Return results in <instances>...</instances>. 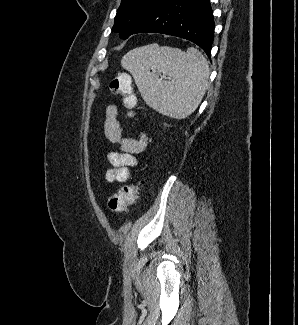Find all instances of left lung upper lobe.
<instances>
[{
    "instance_id": "obj_1",
    "label": "left lung upper lobe",
    "mask_w": 298,
    "mask_h": 325,
    "mask_svg": "<svg viewBox=\"0 0 298 325\" xmlns=\"http://www.w3.org/2000/svg\"><path fill=\"white\" fill-rule=\"evenodd\" d=\"M164 0H121L112 28L122 38H128L134 29Z\"/></svg>"
}]
</instances>
